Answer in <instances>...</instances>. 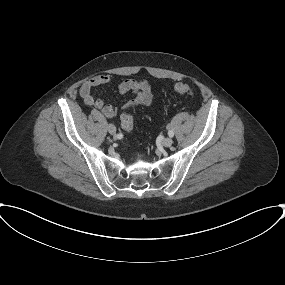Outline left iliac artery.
<instances>
[{"instance_id": "44dca946", "label": "left iliac artery", "mask_w": 285, "mask_h": 285, "mask_svg": "<svg viewBox=\"0 0 285 285\" xmlns=\"http://www.w3.org/2000/svg\"><path fill=\"white\" fill-rule=\"evenodd\" d=\"M168 135H169L170 137H173V136H174V132H173L172 130H169V131H168Z\"/></svg>"}]
</instances>
